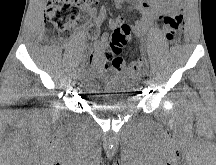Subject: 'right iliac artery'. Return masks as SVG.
Returning a JSON list of instances; mask_svg holds the SVG:
<instances>
[{
    "instance_id": "82829eb1",
    "label": "right iliac artery",
    "mask_w": 216,
    "mask_h": 165,
    "mask_svg": "<svg viewBox=\"0 0 216 165\" xmlns=\"http://www.w3.org/2000/svg\"><path fill=\"white\" fill-rule=\"evenodd\" d=\"M83 64H84V63L81 61V62L78 64V68H79V69H82V68H83Z\"/></svg>"
}]
</instances>
